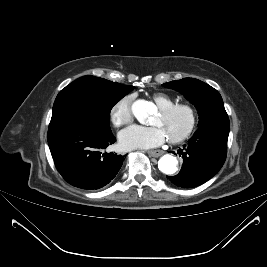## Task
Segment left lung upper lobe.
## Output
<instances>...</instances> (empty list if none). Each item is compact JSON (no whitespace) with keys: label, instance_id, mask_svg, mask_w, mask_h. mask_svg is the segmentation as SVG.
I'll return each instance as SVG.
<instances>
[{"label":"left lung upper lobe","instance_id":"left-lung-upper-lobe-1","mask_svg":"<svg viewBox=\"0 0 267 267\" xmlns=\"http://www.w3.org/2000/svg\"><path fill=\"white\" fill-rule=\"evenodd\" d=\"M163 86L180 92L194 104L198 110L199 127L217 123H229L222 97L210 85L194 78H184L164 83Z\"/></svg>","mask_w":267,"mask_h":267}]
</instances>
